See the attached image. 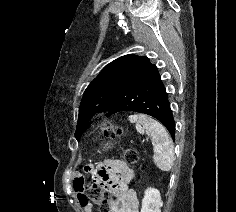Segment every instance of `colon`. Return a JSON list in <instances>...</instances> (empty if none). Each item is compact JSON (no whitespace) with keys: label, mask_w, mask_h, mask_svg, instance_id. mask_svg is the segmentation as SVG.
Here are the masks:
<instances>
[{"label":"colon","mask_w":236,"mask_h":212,"mask_svg":"<svg viewBox=\"0 0 236 212\" xmlns=\"http://www.w3.org/2000/svg\"><path fill=\"white\" fill-rule=\"evenodd\" d=\"M102 134L106 137H112L119 133L117 129H114L110 122H105L102 127ZM124 158L129 164L137 162V152L133 149H127L124 153ZM108 185L102 180L100 172H95L91 179L84 181L83 191L86 198L92 203L96 204L101 212H110V203L108 195Z\"/></svg>","instance_id":"colon-1"}]
</instances>
